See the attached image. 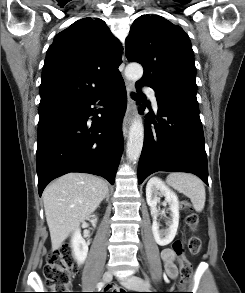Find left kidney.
Listing matches in <instances>:
<instances>
[{
  "mask_svg": "<svg viewBox=\"0 0 245 293\" xmlns=\"http://www.w3.org/2000/svg\"><path fill=\"white\" fill-rule=\"evenodd\" d=\"M158 196H164L166 202L169 204V209L171 211V221L169 222L168 228L165 230L159 229V224L157 222L158 211L157 203L159 202ZM146 200L147 204L150 206L151 213L153 215L152 232L156 243L160 246L168 245L174 239L177 228L179 224V200L177 195L168 188L157 177L151 178L146 186Z\"/></svg>",
  "mask_w": 245,
  "mask_h": 293,
  "instance_id": "1",
  "label": "left kidney"
}]
</instances>
